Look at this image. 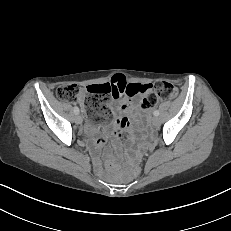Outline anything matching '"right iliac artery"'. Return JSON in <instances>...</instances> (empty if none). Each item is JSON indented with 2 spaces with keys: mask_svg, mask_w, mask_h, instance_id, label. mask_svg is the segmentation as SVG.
I'll return each instance as SVG.
<instances>
[{
  "mask_svg": "<svg viewBox=\"0 0 231 231\" xmlns=\"http://www.w3.org/2000/svg\"><path fill=\"white\" fill-rule=\"evenodd\" d=\"M74 113H75V114H78V113H79V108L76 107V106L74 107Z\"/></svg>",
  "mask_w": 231,
  "mask_h": 231,
  "instance_id": "right-iliac-artery-1",
  "label": "right iliac artery"
}]
</instances>
